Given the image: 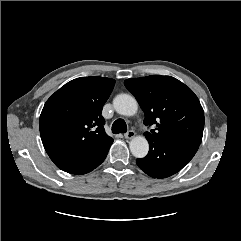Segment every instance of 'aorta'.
I'll list each match as a JSON object with an SVG mask.
<instances>
[{
    "label": "aorta",
    "instance_id": "obj_1",
    "mask_svg": "<svg viewBox=\"0 0 241 241\" xmlns=\"http://www.w3.org/2000/svg\"><path fill=\"white\" fill-rule=\"evenodd\" d=\"M113 106L117 113L124 116H133L138 110V103L134 97L128 94L117 95L113 100ZM130 151L136 158H143L148 154L149 144L145 137L136 136L129 143Z\"/></svg>",
    "mask_w": 241,
    "mask_h": 241
}]
</instances>
